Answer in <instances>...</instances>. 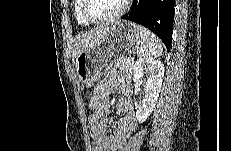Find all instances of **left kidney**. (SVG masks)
<instances>
[{"label": "left kidney", "instance_id": "1", "mask_svg": "<svg viewBox=\"0 0 231 151\" xmlns=\"http://www.w3.org/2000/svg\"><path fill=\"white\" fill-rule=\"evenodd\" d=\"M132 70L135 85L145 84V98L136 111V120L140 123L146 121L156 106L164 76V65L159 60L140 58Z\"/></svg>", "mask_w": 231, "mask_h": 151}]
</instances>
